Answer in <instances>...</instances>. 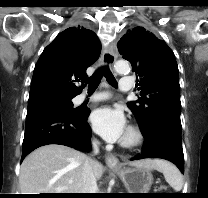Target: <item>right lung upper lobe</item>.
Returning a JSON list of instances; mask_svg holds the SVG:
<instances>
[{
  "instance_id": "cb5924a9",
  "label": "right lung upper lobe",
  "mask_w": 208,
  "mask_h": 198,
  "mask_svg": "<svg viewBox=\"0 0 208 198\" xmlns=\"http://www.w3.org/2000/svg\"><path fill=\"white\" fill-rule=\"evenodd\" d=\"M96 34L83 27H70L57 35L42 52L34 69L28 107L72 99L82 87L73 82L87 77L86 69L99 57Z\"/></svg>"
}]
</instances>
